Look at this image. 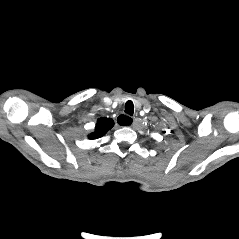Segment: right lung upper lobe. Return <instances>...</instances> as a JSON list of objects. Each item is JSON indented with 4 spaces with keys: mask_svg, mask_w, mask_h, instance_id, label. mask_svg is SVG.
Returning <instances> with one entry per match:
<instances>
[{
    "mask_svg": "<svg viewBox=\"0 0 239 239\" xmlns=\"http://www.w3.org/2000/svg\"><path fill=\"white\" fill-rule=\"evenodd\" d=\"M114 125V122L112 119L109 118H100L97 121L95 132L92 133L89 138L90 139H96L101 136H103L109 129H111Z\"/></svg>",
    "mask_w": 239,
    "mask_h": 239,
    "instance_id": "cb5924a9",
    "label": "right lung upper lobe"
}]
</instances>
